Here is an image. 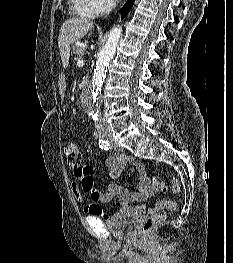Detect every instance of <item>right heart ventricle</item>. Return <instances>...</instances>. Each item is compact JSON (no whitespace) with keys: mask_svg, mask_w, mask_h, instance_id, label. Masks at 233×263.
Listing matches in <instances>:
<instances>
[{"mask_svg":"<svg viewBox=\"0 0 233 263\" xmlns=\"http://www.w3.org/2000/svg\"><path fill=\"white\" fill-rule=\"evenodd\" d=\"M76 13L82 17L92 18L97 15L89 0H73Z\"/></svg>","mask_w":233,"mask_h":263,"instance_id":"obj_1","label":"right heart ventricle"}]
</instances>
